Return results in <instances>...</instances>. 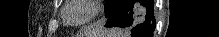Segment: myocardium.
Here are the masks:
<instances>
[{
  "label": "myocardium",
  "mask_w": 219,
  "mask_h": 37,
  "mask_svg": "<svg viewBox=\"0 0 219 37\" xmlns=\"http://www.w3.org/2000/svg\"><path fill=\"white\" fill-rule=\"evenodd\" d=\"M74 1H76V0L68 2V4L65 7L64 13H63L64 22L66 24L70 25V26H83V25H86L89 22H91L95 17H97L101 12V1L100 0H82L83 2H85L91 8L90 15L86 19H84L82 21H79V22L69 21L67 19L66 11L69 9L70 4Z\"/></svg>",
  "instance_id": "myocardium-1"
}]
</instances>
